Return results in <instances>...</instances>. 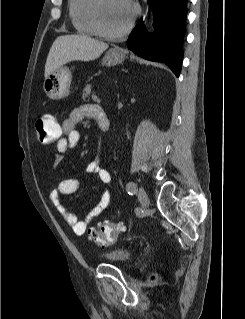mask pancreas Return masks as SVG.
<instances>
[{"instance_id":"pancreas-1","label":"pancreas","mask_w":245,"mask_h":319,"mask_svg":"<svg viewBox=\"0 0 245 319\" xmlns=\"http://www.w3.org/2000/svg\"><path fill=\"white\" fill-rule=\"evenodd\" d=\"M91 88H92V86L90 84H86V86L83 90V94H82V97L84 100L90 96Z\"/></svg>"}]
</instances>
